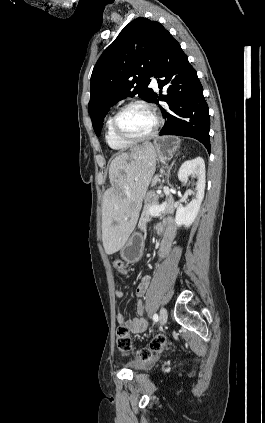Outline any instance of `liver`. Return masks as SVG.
<instances>
[{
    "instance_id": "1",
    "label": "liver",
    "mask_w": 265,
    "mask_h": 423,
    "mask_svg": "<svg viewBox=\"0 0 265 423\" xmlns=\"http://www.w3.org/2000/svg\"><path fill=\"white\" fill-rule=\"evenodd\" d=\"M157 153L145 142L117 155L109 166L111 188L103 196L102 242L106 254L118 252L137 223L149 185L154 186Z\"/></svg>"
}]
</instances>
